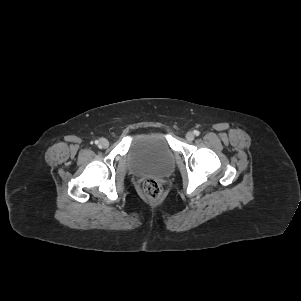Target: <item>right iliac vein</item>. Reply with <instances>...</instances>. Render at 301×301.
I'll return each instance as SVG.
<instances>
[{"instance_id":"1","label":"right iliac vein","mask_w":301,"mask_h":301,"mask_svg":"<svg viewBox=\"0 0 301 301\" xmlns=\"http://www.w3.org/2000/svg\"><path fill=\"white\" fill-rule=\"evenodd\" d=\"M99 146L101 148H107L109 146V141L106 138L99 139Z\"/></svg>"}]
</instances>
